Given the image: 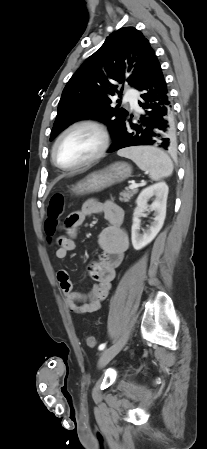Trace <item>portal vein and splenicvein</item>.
Returning <instances> with one entry per match:
<instances>
[{
	"label": "portal vein and splenic vein",
	"instance_id": "obj_1",
	"mask_svg": "<svg viewBox=\"0 0 207 449\" xmlns=\"http://www.w3.org/2000/svg\"><path fill=\"white\" fill-rule=\"evenodd\" d=\"M140 185L139 184H137V183H132L130 186H129V188L130 189H135V188H137V187H139Z\"/></svg>",
	"mask_w": 207,
	"mask_h": 449
}]
</instances>
